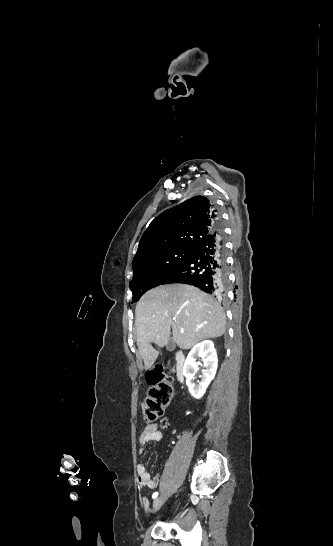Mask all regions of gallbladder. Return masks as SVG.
I'll list each match as a JSON object with an SVG mask.
<instances>
[{
  "mask_svg": "<svg viewBox=\"0 0 333 546\" xmlns=\"http://www.w3.org/2000/svg\"><path fill=\"white\" fill-rule=\"evenodd\" d=\"M176 345H175V342L173 341V339H170L168 341V343L166 344V349L169 351V352H172L174 351Z\"/></svg>",
  "mask_w": 333,
  "mask_h": 546,
  "instance_id": "1",
  "label": "gallbladder"
}]
</instances>
